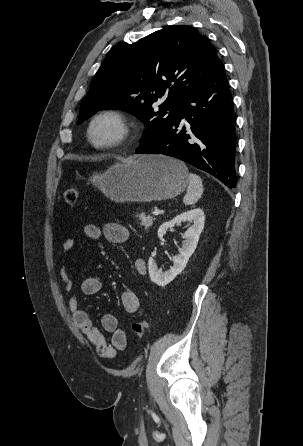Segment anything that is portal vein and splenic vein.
I'll return each mask as SVG.
<instances>
[{
	"mask_svg": "<svg viewBox=\"0 0 303 446\" xmlns=\"http://www.w3.org/2000/svg\"><path fill=\"white\" fill-rule=\"evenodd\" d=\"M160 213H161V211H160L159 209H155V210L153 211V215H154V216H158Z\"/></svg>",
	"mask_w": 303,
	"mask_h": 446,
	"instance_id": "18ae733b",
	"label": "portal vein and splenic vein"
}]
</instances>
